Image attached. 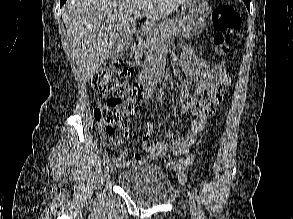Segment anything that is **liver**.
I'll use <instances>...</instances> for the list:
<instances>
[{
    "label": "liver",
    "instance_id": "6515ba94",
    "mask_svg": "<svg viewBox=\"0 0 293 219\" xmlns=\"http://www.w3.org/2000/svg\"><path fill=\"white\" fill-rule=\"evenodd\" d=\"M187 0H67L62 18L73 61L83 80L93 77L120 35L136 32L137 14L152 22L171 15Z\"/></svg>",
    "mask_w": 293,
    "mask_h": 219
}]
</instances>
